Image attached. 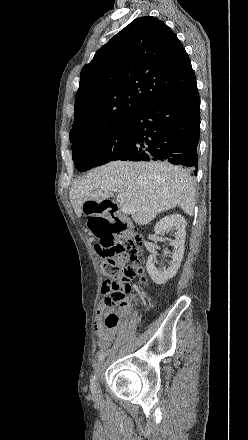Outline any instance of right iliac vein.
<instances>
[{
    "label": "right iliac vein",
    "mask_w": 248,
    "mask_h": 440,
    "mask_svg": "<svg viewBox=\"0 0 248 440\" xmlns=\"http://www.w3.org/2000/svg\"><path fill=\"white\" fill-rule=\"evenodd\" d=\"M101 368H102V363L96 367L95 373H94V378L92 379V382H91V390L94 395L98 394V392H99V376L101 373Z\"/></svg>",
    "instance_id": "1"
}]
</instances>
